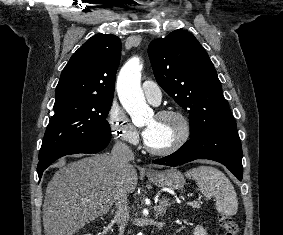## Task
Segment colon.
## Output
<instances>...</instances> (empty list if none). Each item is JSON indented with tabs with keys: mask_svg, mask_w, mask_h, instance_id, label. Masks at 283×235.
<instances>
[{
	"mask_svg": "<svg viewBox=\"0 0 283 235\" xmlns=\"http://www.w3.org/2000/svg\"><path fill=\"white\" fill-rule=\"evenodd\" d=\"M220 226L224 229V235H238L239 228L236 221L227 215H220L218 217Z\"/></svg>",
	"mask_w": 283,
	"mask_h": 235,
	"instance_id": "5ec220e1",
	"label": "colon"
}]
</instances>
